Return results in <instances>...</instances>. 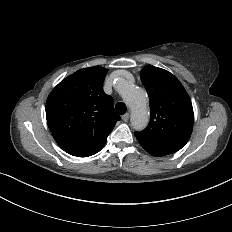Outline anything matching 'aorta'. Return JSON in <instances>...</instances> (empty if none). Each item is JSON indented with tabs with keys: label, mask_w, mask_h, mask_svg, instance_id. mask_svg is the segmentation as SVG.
I'll return each mask as SVG.
<instances>
[{
	"label": "aorta",
	"mask_w": 232,
	"mask_h": 232,
	"mask_svg": "<svg viewBox=\"0 0 232 232\" xmlns=\"http://www.w3.org/2000/svg\"><path fill=\"white\" fill-rule=\"evenodd\" d=\"M116 88L131 110V124L135 130L144 129L149 121L146 92L126 80H118Z\"/></svg>",
	"instance_id": "obj_1"
}]
</instances>
